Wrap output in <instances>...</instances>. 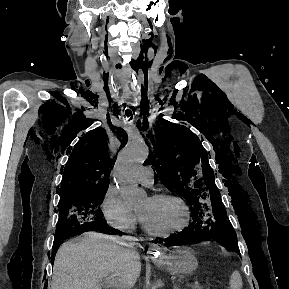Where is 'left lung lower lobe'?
Returning <instances> with one entry per match:
<instances>
[{
	"label": "left lung lower lobe",
	"instance_id": "1",
	"mask_svg": "<svg viewBox=\"0 0 289 289\" xmlns=\"http://www.w3.org/2000/svg\"><path fill=\"white\" fill-rule=\"evenodd\" d=\"M211 238L216 240L214 230L208 226H198L194 223L184 229L181 233L172 235L164 240L172 246L187 245L195 243L198 238Z\"/></svg>",
	"mask_w": 289,
	"mask_h": 289
}]
</instances>
